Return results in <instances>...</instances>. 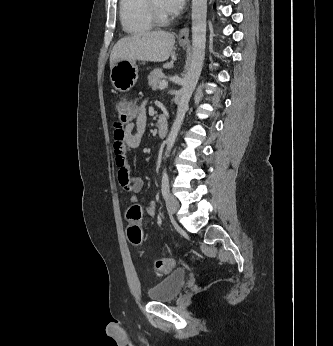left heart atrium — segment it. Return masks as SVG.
I'll return each mask as SVG.
<instances>
[{
    "label": "left heart atrium",
    "mask_w": 333,
    "mask_h": 346,
    "mask_svg": "<svg viewBox=\"0 0 333 346\" xmlns=\"http://www.w3.org/2000/svg\"><path fill=\"white\" fill-rule=\"evenodd\" d=\"M186 0H162V7L168 14L177 13L182 9Z\"/></svg>",
    "instance_id": "obj_1"
}]
</instances>
